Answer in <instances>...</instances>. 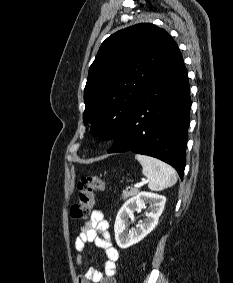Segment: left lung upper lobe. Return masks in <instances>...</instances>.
I'll return each mask as SVG.
<instances>
[{"label": "left lung upper lobe", "mask_w": 233, "mask_h": 283, "mask_svg": "<svg viewBox=\"0 0 233 283\" xmlns=\"http://www.w3.org/2000/svg\"><path fill=\"white\" fill-rule=\"evenodd\" d=\"M175 45L164 29L150 23L122 29L102 43L84 89L83 121L91 133L119 136L147 80Z\"/></svg>", "instance_id": "5c2ea615"}]
</instances>
